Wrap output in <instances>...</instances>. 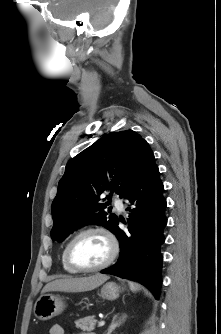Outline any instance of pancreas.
I'll return each instance as SVG.
<instances>
[{
  "mask_svg": "<svg viewBox=\"0 0 221 334\" xmlns=\"http://www.w3.org/2000/svg\"><path fill=\"white\" fill-rule=\"evenodd\" d=\"M96 323L97 320L94 318V316H87L75 321V325L77 328L88 332L85 334H94L91 331L95 329Z\"/></svg>",
  "mask_w": 221,
  "mask_h": 334,
  "instance_id": "obj_1",
  "label": "pancreas"
}]
</instances>
